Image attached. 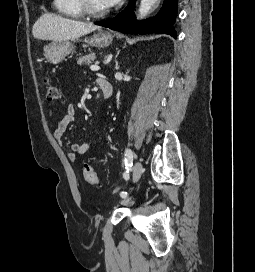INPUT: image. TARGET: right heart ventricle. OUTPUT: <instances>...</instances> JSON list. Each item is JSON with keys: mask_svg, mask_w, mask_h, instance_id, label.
Instances as JSON below:
<instances>
[{"mask_svg": "<svg viewBox=\"0 0 255 272\" xmlns=\"http://www.w3.org/2000/svg\"><path fill=\"white\" fill-rule=\"evenodd\" d=\"M53 8L56 12L68 17L81 18L83 16L80 0H53Z\"/></svg>", "mask_w": 255, "mask_h": 272, "instance_id": "e07e8e85", "label": "right heart ventricle"}]
</instances>
